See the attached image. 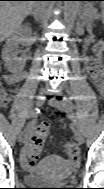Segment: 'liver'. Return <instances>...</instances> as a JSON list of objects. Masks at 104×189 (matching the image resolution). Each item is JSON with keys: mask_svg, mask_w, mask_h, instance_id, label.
Returning a JSON list of instances; mask_svg holds the SVG:
<instances>
[{"mask_svg": "<svg viewBox=\"0 0 104 189\" xmlns=\"http://www.w3.org/2000/svg\"><path fill=\"white\" fill-rule=\"evenodd\" d=\"M36 4L35 1H1V40L12 36L19 31L24 18L33 11Z\"/></svg>", "mask_w": 104, "mask_h": 189, "instance_id": "obj_1", "label": "liver"}]
</instances>
